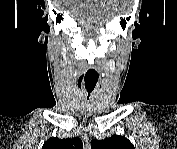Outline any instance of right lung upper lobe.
I'll list each match as a JSON object with an SVG mask.
<instances>
[{
  "label": "right lung upper lobe",
  "instance_id": "cb5924a9",
  "mask_svg": "<svg viewBox=\"0 0 177 149\" xmlns=\"http://www.w3.org/2000/svg\"><path fill=\"white\" fill-rule=\"evenodd\" d=\"M83 144L79 138L59 139L53 137L48 139L42 149H82Z\"/></svg>",
  "mask_w": 177,
  "mask_h": 149
}]
</instances>
